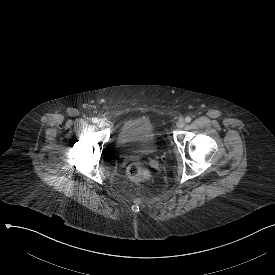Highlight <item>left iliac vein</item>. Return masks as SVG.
I'll return each mask as SVG.
<instances>
[{
	"instance_id": "4c4485c4",
	"label": "left iliac vein",
	"mask_w": 275,
	"mask_h": 275,
	"mask_svg": "<svg viewBox=\"0 0 275 275\" xmlns=\"http://www.w3.org/2000/svg\"><path fill=\"white\" fill-rule=\"evenodd\" d=\"M185 126V120L184 119H179L177 122V127L178 129H182Z\"/></svg>"
}]
</instances>
